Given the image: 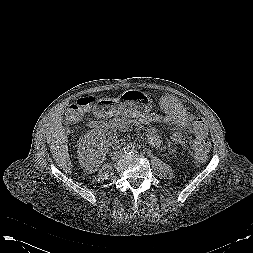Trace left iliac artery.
Listing matches in <instances>:
<instances>
[{"label": "left iliac artery", "mask_w": 253, "mask_h": 253, "mask_svg": "<svg viewBox=\"0 0 253 253\" xmlns=\"http://www.w3.org/2000/svg\"><path fill=\"white\" fill-rule=\"evenodd\" d=\"M133 152H134V153H136V152H137V150H136V149H133Z\"/></svg>", "instance_id": "44dca946"}]
</instances>
